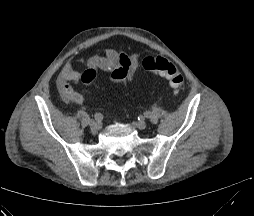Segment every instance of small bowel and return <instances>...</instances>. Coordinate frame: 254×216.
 I'll use <instances>...</instances> for the list:
<instances>
[{
    "label": "small bowel",
    "mask_w": 254,
    "mask_h": 216,
    "mask_svg": "<svg viewBox=\"0 0 254 216\" xmlns=\"http://www.w3.org/2000/svg\"><path fill=\"white\" fill-rule=\"evenodd\" d=\"M88 67L96 72H108L107 81L110 83L128 86L139 69V57L135 53L127 54L123 51L106 49L102 54L93 56L88 62ZM81 75V72L72 68L70 62L65 63L57 78V88L64 101L76 104L85 102L84 96L69 84L81 81Z\"/></svg>",
    "instance_id": "obj_1"
}]
</instances>
